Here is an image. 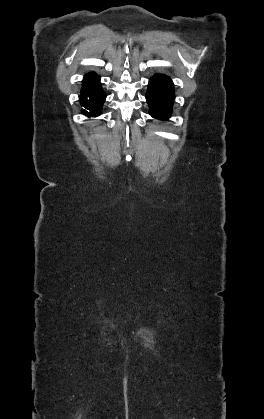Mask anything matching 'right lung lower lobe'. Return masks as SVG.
<instances>
[{"instance_id":"obj_1","label":"right lung lower lobe","mask_w":264,"mask_h":419,"mask_svg":"<svg viewBox=\"0 0 264 419\" xmlns=\"http://www.w3.org/2000/svg\"><path fill=\"white\" fill-rule=\"evenodd\" d=\"M80 102L85 108L82 113L90 116H98L105 101L106 94L103 91L99 76L84 79V84L80 92Z\"/></svg>"}]
</instances>
